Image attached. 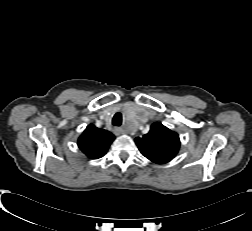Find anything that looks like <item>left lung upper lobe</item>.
I'll return each mask as SVG.
<instances>
[{
	"mask_svg": "<svg viewBox=\"0 0 252 231\" xmlns=\"http://www.w3.org/2000/svg\"><path fill=\"white\" fill-rule=\"evenodd\" d=\"M135 142L140 152L157 164L172 160L180 146L178 134L158 122L152 124L150 131L143 137H137Z\"/></svg>",
	"mask_w": 252,
	"mask_h": 231,
	"instance_id": "1",
	"label": "left lung upper lobe"
}]
</instances>
